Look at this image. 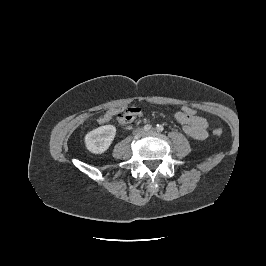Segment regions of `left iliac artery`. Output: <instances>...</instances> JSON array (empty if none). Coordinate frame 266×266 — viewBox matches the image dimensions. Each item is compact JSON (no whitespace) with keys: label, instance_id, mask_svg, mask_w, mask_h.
Instances as JSON below:
<instances>
[{"label":"left iliac artery","instance_id":"left-iliac-artery-1","mask_svg":"<svg viewBox=\"0 0 266 266\" xmlns=\"http://www.w3.org/2000/svg\"><path fill=\"white\" fill-rule=\"evenodd\" d=\"M156 129H157L158 132H162V131L164 130V127H163L162 125H159V124H158V125L156 126Z\"/></svg>","mask_w":266,"mask_h":266}]
</instances>
